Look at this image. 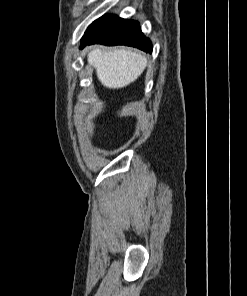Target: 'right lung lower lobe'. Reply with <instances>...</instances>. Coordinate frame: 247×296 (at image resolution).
Instances as JSON below:
<instances>
[{"instance_id":"obj_1","label":"right lung lower lobe","mask_w":247,"mask_h":296,"mask_svg":"<svg viewBox=\"0 0 247 296\" xmlns=\"http://www.w3.org/2000/svg\"><path fill=\"white\" fill-rule=\"evenodd\" d=\"M127 45L152 52L151 41L141 32L139 23L115 15H104L89 26L81 48L91 44Z\"/></svg>"}]
</instances>
